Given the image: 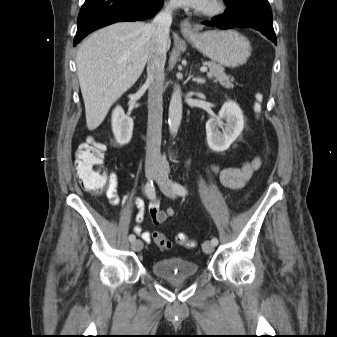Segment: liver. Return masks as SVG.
I'll list each match as a JSON object with an SVG mask.
<instances>
[{
	"label": "liver",
	"instance_id": "1",
	"mask_svg": "<svg viewBox=\"0 0 337 337\" xmlns=\"http://www.w3.org/2000/svg\"><path fill=\"white\" fill-rule=\"evenodd\" d=\"M151 40L146 23L122 22L98 30L79 46L77 74L89 130L103 122L113 103L139 79Z\"/></svg>",
	"mask_w": 337,
	"mask_h": 337
}]
</instances>
